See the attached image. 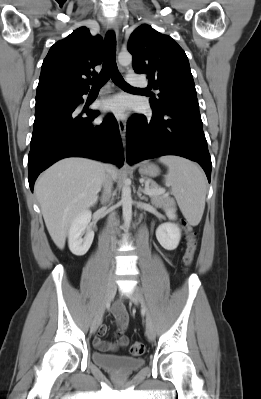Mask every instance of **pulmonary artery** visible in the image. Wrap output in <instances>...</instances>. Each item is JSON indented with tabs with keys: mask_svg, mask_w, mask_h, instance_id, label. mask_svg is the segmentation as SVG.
Returning <instances> with one entry per match:
<instances>
[{
	"mask_svg": "<svg viewBox=\"0 0 261 399\" xmlns=\"http://www.w3.org/2000/svg\"><path fill=\"white\" fill-rule=\"evenodd\" d=\"M127 81L130 84L137 85V86H145L146 82L143 80H140L136 77V75L133 72H129L127 75Z\"/></svg>",
	"mask_w": 261,
	"mask_h": 399,
	"instance_id": "1",
	"label": "pulmonary artery"
}]
</instances>
